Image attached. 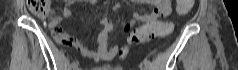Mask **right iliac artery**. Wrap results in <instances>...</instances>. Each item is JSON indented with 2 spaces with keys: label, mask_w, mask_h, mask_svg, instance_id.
<instances>
[{
  "label": "right iliac artery",
  "mask_w": 238,
  "mask_h": 70,
  "mask_svg": "<svg viewBox=\"0 0 238 70\" xmlns=\"http://www.w3.org/2000/svg\"><path fill=\"white\" fill-rule=\"evenodd\" d=\"M78 64H79L78 61H74V62H72L71 67L73 69H76L78 67Z\"/></svg>",
  "instance_id": "82829eb1"
}]
</instances>
